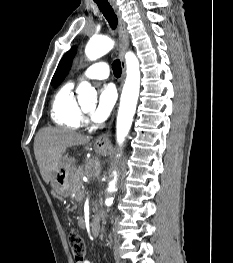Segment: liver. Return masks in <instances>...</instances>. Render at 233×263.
<instances>
[{"label": "liver", "instance_id": "obj_1", "mask_svg": "<svg viewBox=\"0 0 233 263\" xmlns=\"http://www.w3.org/2000/svg\"><path fill=\"white\" fill-rule=\"evenodd\" d=\"M90 136H84L66 128H43L34 140V153L42 179L51 182L58 170L62 155L71 146L85 145Z\"/></svg>", "mask_w": 233, "mask_h": 263}]
</instances>
